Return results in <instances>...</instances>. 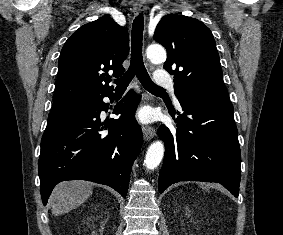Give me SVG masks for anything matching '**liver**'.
Segmentation results:
<instances>
[{
	"mask_svg": "<svg viewBox=\"0 0 283 235\" xmlns=\"http://www.w3.org/2000/svg\"><path fill=\"white\" fill-rule=\"evenodd\" d=\"M92 188L93 184L80 180L59 183L50 196L52 214L59 216L80 206L92 194Z\"/></svg>",
	"mask_w": 283,
	"mask_h": 235,
	"instance_id": "1",
	"label": "liver"
}]
</instances>
